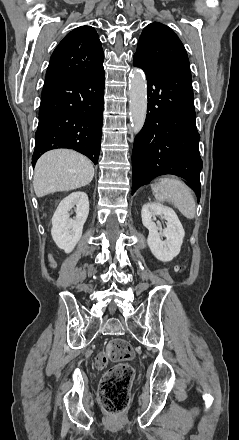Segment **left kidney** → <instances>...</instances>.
<instances>
[{
    "label": "left kidney",
    "mask_w": 239,
    "mask_h": 440,
    "mask_svg": "<svg viewBox=\"0 0 239 440\" xmlns=\"http://www.w3.org/2000/svg\"><path fill=\"white\" fill-rule=\"evenodd\" d=\"M141 216L143 226L149 230L147 244L153 256L160 262H171L178 256L185 236L183 226L174 210L162 204L148 202L142 206ZM155 216L167 220V228L163 232H158V226L153 220ZM162 236H165L166 240H161Z\"/></svg>",
    "instance_id": "left-kidney-1"
}]
</instances>
